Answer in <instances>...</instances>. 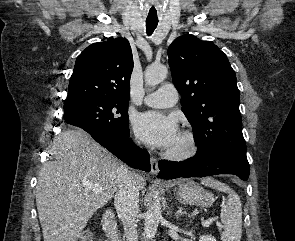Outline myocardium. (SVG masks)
Segmentation results:
<instances>
[{"label":"myocardium","mask_w":295,"mask_h":241,"mask_svg":"<svg viewBox=\"0 0 295 241\" xmlns=\"http://www.w3.org/2000/svg\"><path fill=\"white\" fill-rule=\"evenodd\" d=\"M185 146L179 150L168 149L165 156L175 161H186L194 158L200 151V143L197 135L192 130H184L179 135Z\"/></svg>","instance_id":"obj_1"}]
</instances>
